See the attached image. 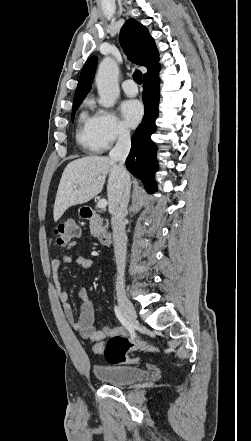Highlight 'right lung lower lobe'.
I'll return each mask as SVG.
<instances>
[{
	"label": "right lung lower lobe",
	"instance_id": "obj_1",
	"mask_svg": "<svg viewBox=\"0 0 251 441\" xmlns=\"http://www.w3.org/2000/svg\"><path fill=\"white\" fill-rule=\"evenodd\" d=\"M159 70L144 77L143 102L145 114L142 123L134 132L131 141L132 147L126 159V167L134 176L144 183L148 193L156 192L154 173L158 169L156 161V145L150 136L156 131L155 120L158 117L160 97Z\"/></svg>",
	"mask_w": 251,
	"mask_h": 441
}]
</instances>
